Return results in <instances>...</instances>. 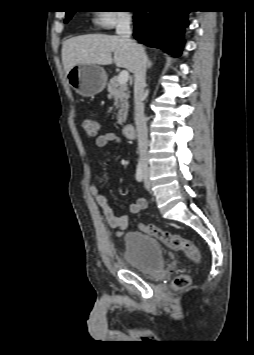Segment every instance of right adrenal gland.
Here are the masks:
<instances>
[{
    "label": "right adrenal gland",
    "instance_id": "1",
    "mask_svg": "<svg viewBox=\"0 0 254 355\" xmlns=\"http://www.w3.org/2000/svg\"><path fill=\"white\" fill-rule=\"evenodd\" d=\"M147 67H148V68H151V67H152V62H151L149 59H147Z\"/></svg>",
    "mask_w": 254,
    "mask_h": 355
}]
</instances>
